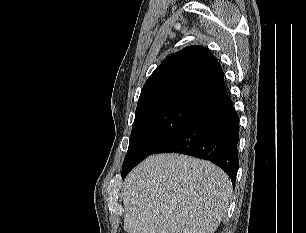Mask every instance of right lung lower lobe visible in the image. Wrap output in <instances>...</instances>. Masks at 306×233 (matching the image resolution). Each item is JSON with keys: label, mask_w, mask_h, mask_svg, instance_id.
<instances>
[{"label": "right lung lower lobe", "mask_w": 306, "mask_h": 233, "mask_svg": "<svg viewBox=\"0 0 306 233\" xmlns=\"http://www.w3.org/2000/svg\"><path fill=\"white\" fill-rule=\"evenodd\" d=\"M238 139L239 118L226 94L204 106L152 154L175 152L209 160L221 167L235 186Z\"/></svg>", "instance_id": "obj_1"}]
</instances>
